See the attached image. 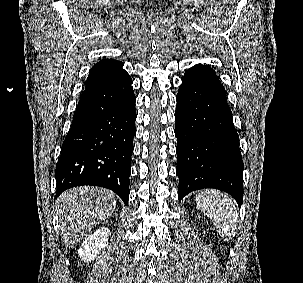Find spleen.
Returning a JSON list of instances; mask_svg holds the SVG:
<instances>
[{
	"label": "spleen",
	"instance_id": "1",
	"mask_svg": "<svg viewBox=\"0 0 303 283\" xmlns=\"http://www.w3.org/2000/svg\"><path fill=\"white\" fill-rule=\"evenodd\" d=\"M197 208L210 218L224 240L236 235L238 213L233 200L217 190H202L197 194Z\"/></svg>",
	"mask_w": 303,
	"mask_h": 283
}]
</instances>
